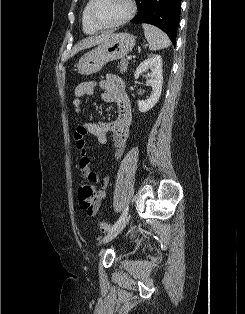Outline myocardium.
Returning a JSON list of instances; mask_svg holds the SVG:
<instances>
[{"label":"myocardium","instance_id":"obj_1","mask_svg":"<svg viewBox=\"0 0 245 314\" xmlns=\"http://www.w3.org/2000/svg\"><path fill=\"white\" fill-rule=\"evenodd\" d=\"M96 2H97V0H91L89 15H90L91 21L99 29H109V28H115V27L121 26V25L127 23L128 21H130L136 13V4H135L134 0H127L128 12L122 18H120L119 20H117L113 23H101L96 18V15H95Z\"/></svg>","mask_w":245,"mask_h":314}]
</instances>
